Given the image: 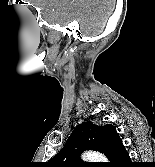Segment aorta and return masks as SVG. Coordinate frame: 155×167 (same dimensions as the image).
<instances>
[{
    "mask_svg": "<svg viewBox=\"0 0 155 167\" xmlns=\"http://www.w3.org/2000/svg\"><path fill=\"white\" fill-rule=\"evenodd\" d=\"M83 160L89 161V162H105L106 158L95 151H89L83 154Z\"/></svg>",
    "mask_w": 155,
    "mask_h": 167,
    "instance_id": "762f6f07",
    "label": "aorta"
}]
</instances>
